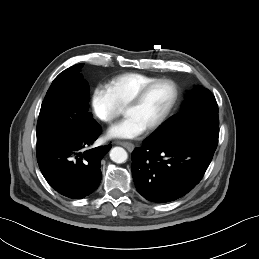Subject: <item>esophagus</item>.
<instances>
[{
	"instance_id": "esophagus-1",
	"label": "esophagus",
	"mask_w": 259,
	"mask_h": 259,
	"mask_svg": "<svg viewBox=\"0 0 259 259\" xmlns=\"http://www.w3.org/2000/svg\"><path fill=\"white\" fill-rule=\"evenodd\" d=\"M116 144L125 147L130 152L133 151V149H134V144H132L130 142L116 141Z\"/></svg>"
}]
</instances>
